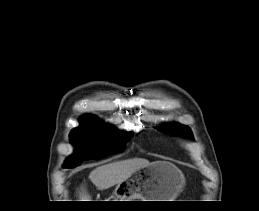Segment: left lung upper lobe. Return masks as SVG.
<instances>
[{
  "label": "left lung upper lobe",
  "instance_id": "left-lung-upper-lobe-1",
  "mask_svg": "<svg viewBox=\"0 0 259 211\" xmlns=\"http://www.w3.org/2000/svg\"><path fill=\"white\" fill-rule=\"evenodd\" d=\"M160 131H163L164 133H170L176 136H181L183 138L193 139L190 129L187 126L179 123L169 124L164 128H161Z\"/></svg>",
  "mask_w": 259,
  "mask_h": 211
}]
</instances>
